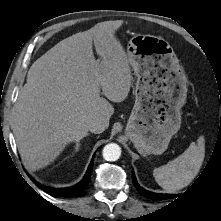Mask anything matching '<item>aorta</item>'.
I'll return each instance as SVG.
<instances>
[{"instance_id":"1","label":"aorta","mask_w":221,"mask_h":221,"mask_svg":"<svg viewBox=\"0 0 221 221\" xmlns=\"http://www.w3.org/2000/svg\"><path fill=\"white\" fill-rule=\"evenodd\" d=\"M103 158L107 161H116L121 155V148L115 143L107 144L103 149Z\"/></svg>"}]
</instances>
